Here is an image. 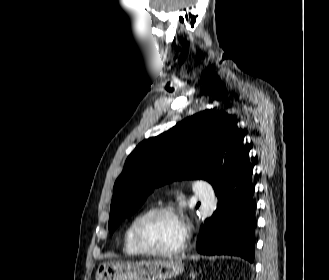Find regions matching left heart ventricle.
<instances>
[{"label":"left heart ventricle","instance_id":"left-heart-ventricle-1","mask_svg":"<svg viewBox=\"0 0 329 280\" xmlns=\"http://www.w3.org/2000/svg\"><path fill=\"white\" fill-rule=\"evenodd\" d=\"M183 228L177 218L161 214L152 218L144 230L145 241L155 249L168 250L179 245Z\"/></svg>","mask_w":329,"mask_h":280}]
</instances>
